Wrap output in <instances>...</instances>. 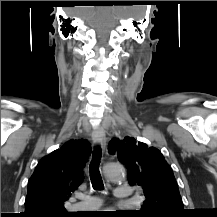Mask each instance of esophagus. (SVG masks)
Listing matches in <instances>:
<instances>
[{"label":"esophagus","instance_id":"esophagus-1","mask_svg":"<svg viewBox=\"0 0 217 217\" xmlns=\"http://www.w3.org/2000/svg\"><path fill=\"white\" fill-rule=\"evenodd\" d=\"M92 140L96 145H99L103 150L105 149L106 135L102 127H98L92 132Z\"/></svg>","mask_w":217,"mask_h":217}]
</instances>
